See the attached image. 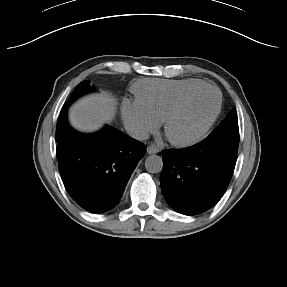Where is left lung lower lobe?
Instances as JSON below:
<instances>
[{
	"mask_svg": "<svg viewBox=\"0 0 287 287\" xmlns=\"http://www.w3.org/2000/svg\"><path fill=\"white\" fill-rule=\"evenodd\" d=\"M161 190L167 203L184 215L213 207L231 180L237 150L205 139L184 149L162 151Z\"/></svg>",
	"mask_w": 287,
	"mask_h": 287,
	"instance_id": "left-lung-lower-lobe-1",
	"label": "left lung lower lobe"
}]
</instances>
